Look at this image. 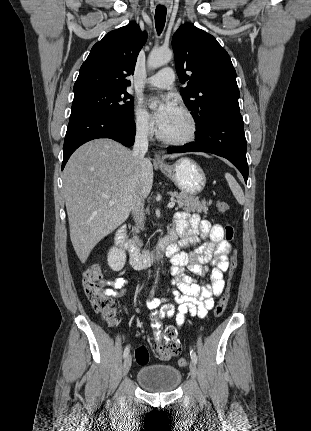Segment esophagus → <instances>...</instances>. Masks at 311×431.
Returning <instances> with one entry per match:
<instances>
[{
	"label": "esophagus",
	"mask_w": 311,
	"mask_h": 431,
	"mask_svg": "<svg viewBox=\"0 0 311 431\" xmlns=\"http://www.w3.org/2000/svg\"><path fill=\"white\" fill-rule=\"evenodd\" d=\"M153 162L154 164H164V159L161 157V154L159 151L155 152Z\"/></svg>",
	"instance_id": "1"
}]
</instances>
